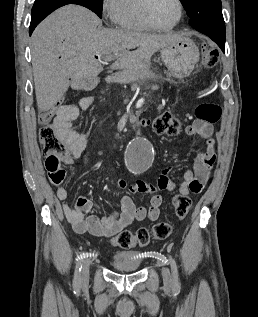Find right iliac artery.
I'll list each match as a JSON object with an SVG mask.
<instances>
[{
    "label": "right iliac artery",
    "instance_id": "1",
    "mask_svg": "<svg viewBox=\"0 0 258 317\" xmlns=\"http://www.w3.org/2000/svg\"><path fill=\"white\" fill-rule=\"evenodd\" d=\"M81 270H82V261H78L76 265V271L74 275V280H73V289L74 293H80L81 289Z\"/></svg>",
    "mask_w": 258,
    "mask_h": 317
}]
</instances>
